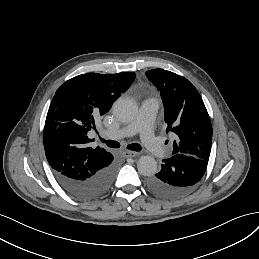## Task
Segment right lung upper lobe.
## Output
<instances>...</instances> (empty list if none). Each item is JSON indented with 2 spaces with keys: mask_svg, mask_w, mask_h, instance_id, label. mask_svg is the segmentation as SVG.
<instances>
[{
  "mask_svg": "<svg viewBox=\"0 0 259 259\" xmlns=\"http://www.w3.org/2000/svg\"><path fill=\"white\" fill-rule=\"evenodd\" d=\"M135 73H88L63 83L50 104L43 133L48 163L58 173L85 178L102 168L112 154L88 137L94 118L107 113L135 79Z\"/></svg>",
  "mask_w": 259,
  "mask_h": 259,
  "instance_id": "cb5924a9",
  "label": "right lung upper lobe"
}]
</instances>
